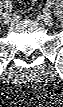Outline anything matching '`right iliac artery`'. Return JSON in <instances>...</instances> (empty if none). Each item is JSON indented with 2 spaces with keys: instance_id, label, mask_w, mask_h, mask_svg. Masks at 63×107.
<instances>
[{
  "instance_id": "right-iliac-artery-1",
  "label": "right iliac artery",
  "mask_w": 63,
  "mask_h": 107,
  "mask_svg": "<svg viewBox=\"0 0 63 107\" xmlns=\"http://www.w3.org/2000/svg\"><path fill=\"white\" fill-rule=\"evenodd\" d=\"M4 8H5V11H6V12L3 14V16H4L5 14H8V13L11 12V10H12L11 2H10V1H5V2H4Z\"/></svg>"
}]
</instances>
